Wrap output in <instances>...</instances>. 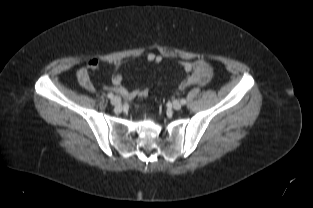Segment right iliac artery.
I'll use <instances>...</instances> for the list:
<instances>
[{
  "label": "right iliac artery",
  "instance_id": "right-iliac-artery-1",
  "mask_svg": "<svg viewBox=\"0 0 313 208\" xmlns=\"http://www.w3.org/2000/svg\"><path fill=\"white\" fill-rule=\"evenodd\" d=\"M108 98L112 99L114 97V94L113 93H108Z\"/></svg>",
  "mask_w": 313,
  "mask_h": 208
}]
</instances>
